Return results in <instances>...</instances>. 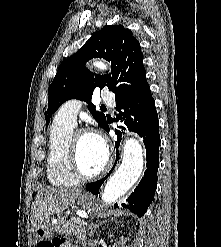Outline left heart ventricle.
Listing matches in <instances>:
<instances>
[{"mask_svg": "<svg viewBox=\"0 0 221 247\" xmlns=\"http://www.w3.org/2000/svg\"><path fill=\"white\" fill-rule=\"evenodd\" d=\"M78 158L84 173H97L106 161V149L100 138L91 134L82 135L78 142Z\"/></svg>", "mask_w": 221, "mask_h": 247, "instance_id": "b2bd125f", "label": "left heart ventricle"}]
</instances>
